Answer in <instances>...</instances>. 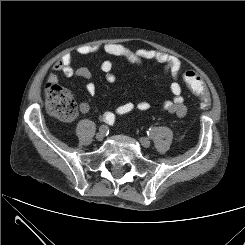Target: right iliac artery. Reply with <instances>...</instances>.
Here are the masks:
<instances>
[{
    "label": "right iliac artery",
    "instance_id": "right-iliac-artery-1",
    "mask_svg": "<svg viewBox=\"0 0 245 245\" xmlns=\"http://www.w3.org/2000/svg\"><path fill=\"white\" fill-rule=\"evenodd\" d=\"M108 117V116H107ZM107 124H112L113 122H114V118H113V120H110V119H105L104 120ZM99 130H101L103 133H105L106 135L109 133V129H108V127L106 126V125H102L101 127H100V129Z\"/></svg>",
    "mask_w": 245,
    "mask_h": 245
}]
</instances>
